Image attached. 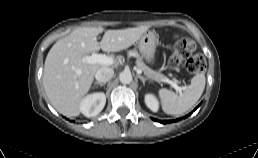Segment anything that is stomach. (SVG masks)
Returning a JSON list of instances; mask_svg holds the SVG:
<instances>
[{
  "label": "stomach",
  "instance_id": "stomach-1",
  "mask_svg": "<svg viewBox=\"0 0 258 158\" xmlns=\"http://www.w3.org/2000/svg\"><path fill=\"white\" fill-rule=\"evenodd\" d=\"M157 36L152 31H146L138 40V49L142 57L149 63L155 59V50L157 45Z\"/></svg>",
  "mask_w": 258,
  "mask_h": 158
}]
</instances>
